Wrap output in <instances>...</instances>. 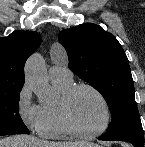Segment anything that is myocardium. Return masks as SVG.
Returning a JSON list of instances; mask_svg holds the SVG:
<instances>
[{
    "label": "myocardium",
    "mask_w": 145,
    "mask_h": 147,
    "mask_svg": "<svg viewBox=\"0 0 145 147\" xmlns=\"http://www.w3.org/2000/svg\"><path fill=\"white\" fill-rule=\"evenodd\" d=\"M83 89L91 91L100 99V101L102 102L105 108V113H106V119H105L104 125L100 129L91 131V132L82 130L76 124L71 114L72 101L74 97L77 95V93ZM59 109H60L62 120L64 124L66 125V127L68 128V130L72 134L81 138H94L103 134L109 128L112 121V110L107 98L99 89L87 83H80V84L73 85L60 99Z\"/></svg>",
    "instance_id": "obj_1"
}]
</instances>
